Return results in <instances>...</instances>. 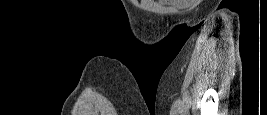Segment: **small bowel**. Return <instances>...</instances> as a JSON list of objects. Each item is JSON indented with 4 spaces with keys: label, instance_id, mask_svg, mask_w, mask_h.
<instances>
[{
    "label": "small bowel",
    "instance_id": "1",
    "mask_svg": "<svg viewBox=\"0 0 267 115\" xmlns=\"http://www.w3.org/2000/svg\"><path fill=\"white\" fill-rule=\"evenodd\" d=\"M166 4L174 6H194L198 1L197 0H165L163 1Z\"/></svg>",
    "mask_w": 267,
    "mask_h": 115
}]
</instances>
